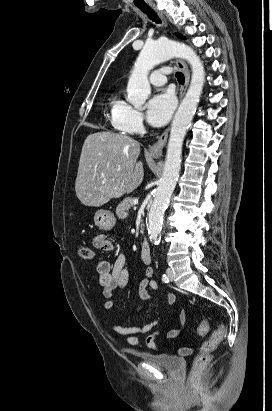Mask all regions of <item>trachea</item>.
Segmentation results:
<instances>
[{
    "label": "trachea",
    "mask_w": 272,
    "mask_h": 411,
    "mask_svg": "<svg viewBox=\"0 0 272 411\" xmlns=\"http://www.w3.org/2000/svg\"><path fill=\"white\" fill-rule=\"evenodd\" d=\"M138 8L145 13L152 21L156 23H161L160 18L157 16V14L149 7V6H138ZM176 78L179 83L184 84L185 82V77L183 73L177 72L176 73Z\"/></svg>",
    "instance_id": "3493384b"
}]
</instances>
